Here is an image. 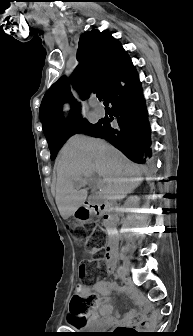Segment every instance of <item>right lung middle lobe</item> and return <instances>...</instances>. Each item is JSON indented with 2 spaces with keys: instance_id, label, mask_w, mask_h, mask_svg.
Listing matches in <instances>:
<instances>
[{
  "instance_id": "dd1d6c3e",
  "label": "right lung middle lobe",
  "mask_w": 193,
  "mask_h": 336,
  "mask_svg": "<svg viewBox=\"0 0 193 336\" xmlns=\"http://www.w3.org/2000/svg\"><path fill=\"white\" fill-rule=\"evenodd\" d=\"M102 122L99 121L96 124H90L85 120H78L71 128H69L66 132L56 135L51 140L48 141V146L51 151V160H54L57 156L58 151L61 149L65 141L76 132H85L87 134H92L96 131Z\"/></svg>"
}]
</instances>
